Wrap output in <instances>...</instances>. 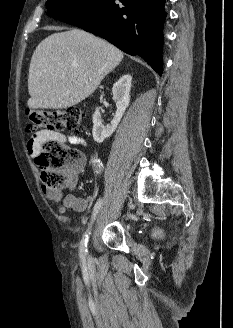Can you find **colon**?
Returning <instances> with one entry per match:
<instances>
[{
	"label": "colon",
	"mask_w": 233,
	"mask_h": 328,
	"mask_svg": "<svg viewBox=\"0 0 233 328\" xmlns=\"http://www.w3.org/2000/svg\"><path fill=\"white\" fill-rule=\"evenodd\" d=\"M28 118L29 129L80 131L84 112L77 107L65 110L33 109L28 111ZM35 161L41 170L43 187L59 189L75 178L83 162V155L78 149L66 146L57 140H47L41 145Z\"/></svg>",
	"instance_id": "1"
}]
</instances>
